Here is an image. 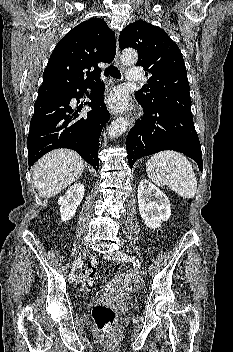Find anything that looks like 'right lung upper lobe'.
Here are the masks:
<instances>
[{
  "label": "right lung upper lobe",
  "instance_id": "1",
  "mask_svg": "<svg viewBox=\"0 0 233 352\" xmlns=\"http://www.w3.org/2000/svg\"><path fill=\"white\" fill-rule=\"evenodd\" d=\"M116 53L115 35L106 22L92 18L63 37L43 73L44 87L73 88L98 79L99 62L110 63ZM94 67L93 71H90Z\"/></svg>",
  "mask_w": 233,
  "mask_h": 352
}]
</instances>
